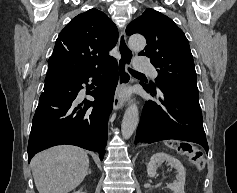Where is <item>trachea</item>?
<instances>
[{
    "mask_svg": "<svg viewBox=\"0 0 237 193\" xmlns=\"http://www.w3.org/2000/svg\"><path fill=\"white\" fill-rule=\"evenodd\" d=\"M129 72H130L132 75H143L142 73L137 72V71L132 70V69H129Z\"/></svg>",
    "mask_w": 237,
    "mask_h": 193,
    "instance_id": "1",
    "label": "trachea"
}]
</instances>
